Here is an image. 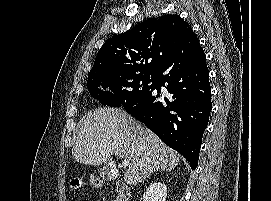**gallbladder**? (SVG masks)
Wrapping results in <instances>:
<instances>
[{"label":"gallbladder","instance_id":"bac80fb5","mask_svg":"<svg viewBox=\"0 0 271 201\" xmlns=\"http://www.w3.org/2000/svg\"><path fill=\"white\" fill-rule=\"evenodd\" d=\"M100 177L104 180H112L117 177L115 166L110 162H106L99 171Z\"/></svg>","mask_w":271,"mask_h":201}]
</instances>
